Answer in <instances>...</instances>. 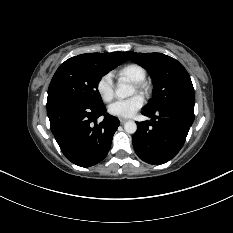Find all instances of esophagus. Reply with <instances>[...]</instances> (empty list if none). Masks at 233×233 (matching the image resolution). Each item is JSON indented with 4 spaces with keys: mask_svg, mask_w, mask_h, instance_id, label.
Here are the masks:
<instances>
[{
    "mask_svg": "<svg viewBox=\"0 0 233 233\" xmlns=\"http://www.w3.org/2000/svg\"><path fill=\"white\" fill-rule=\"evenodd\" d=\"M119 121H120V124H124L127 121V119L119 118Z\"/></svg>",
    "mask_w": 233,
    "mask_h": 233,
    "instance_id": "obj_1",
    "label": "esophagus"
}]
</instances>
